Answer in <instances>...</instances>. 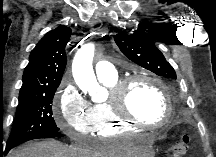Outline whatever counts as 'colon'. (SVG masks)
<instances>
[{"label": "colon", "instance_id": "obj_1", "mask_svg": "<svg viewBox=\"0 0 216 157\" xmlns=\"http://www.w3.org/2000/svg\"><path fill=\"white\" fill-rule=\"evenodd\" d=\"M189 144V136L185 133L181 134L172 148L174 157H182L187 153Z\"/></svg>", "mask_w": 216, "mask_h": 157}]
</instances>
